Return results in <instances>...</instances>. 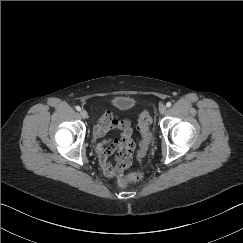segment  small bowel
<instances>
[{
    "label": "small bowel",
    "mask_w": 243,
    "mask_h": 243,
    "mask_svg": "<svg viewBox=\"0 0 243 243\" xmlns=\"http://www.w3.org/2000/svg\"><path fill=\"white\" fill-rule=\"evenodd\" d=\"M111 130L118 131L121 137L112 141L104 140L105 135ZM132 135L133 130L127 118H120L112 111H106L99 117L93 129V138L97 142L95 151L100 167L107 178L122 177L130 166L135 147ZM115 150H121L122 154L112 159Z\"/></svg>",
    "instance_id": "c3829d8e"
}]
</instances>
